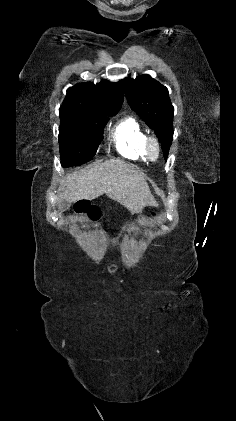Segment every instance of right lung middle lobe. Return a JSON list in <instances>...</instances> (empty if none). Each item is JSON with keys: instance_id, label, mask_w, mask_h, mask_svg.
I'll return each mask as SVG.
<instances>
[{"instance_id": "obj_1", "label": "right lung middle lobe", "mask_w": 236, "mask_h": 421, "mask_svg": "<svg viewBox=\"0 0 236 421\" xmlns=\"http://www.w3.org/2000/svg\"><path fill=\"white\" fill-rule=\"evenodd\" d=\"M120 109L96 106L62 105L59 111L60 157L63 167L92 160L103 140V129L109 117Z\"/></svg>"}]
</instances>
